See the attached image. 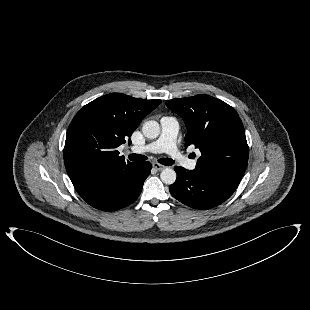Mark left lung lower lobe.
I'll list each match as a JSON object with an SVG mask.
<instances>
[{"instance_id":"left-lung-lower-lobe-1","label":"left lung lower lobe","mask_w":310,"mask_h":310,"mask_svg":"<svg viewBox=\"0 0 310 310\" xmlns=\"http://www.w3.org/2000/svg\"><path fill=\"white\" fill-rule=\"evenodd\" d=\"M175 183L169 186L170 193L183 204L195 209H210L226 201L236 190L239 182L226 177L202 172L187 171L176 166Z\"/></svg>"}]
</instances>
